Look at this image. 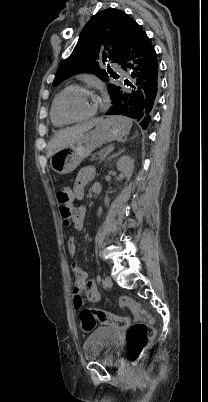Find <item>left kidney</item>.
I'll return each instance as SVG.
<instances>
[{
  "mask_svg": "<svg viewBox=\"0 0 208 402\" xmlns=\"http://www.w3.org/2000/svg\"><path fill=\"white\" fill-rule=\"evenodd\" d=\"M116 168L122 174H125L127 180H130L133 174L134 160H131L130 156H122L118 162H116Z\"/></svg>",
  "mask_w": 208,
  "mask_h": 402,
  "instance_id": "left-kidney-1",
  "label": "left kidney"
}]
</instances>
